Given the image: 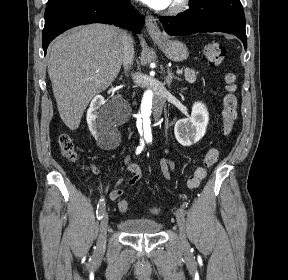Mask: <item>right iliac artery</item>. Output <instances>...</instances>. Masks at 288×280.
Returning a JSON list of instances; mask_svg holds the SVG:
<instances>
[{
	"instance_id": "1",
	"label": "right iliac artery",
	"mask_w": 288,
	"mask_h": 280,
	"mask_svg": "<svg viewBox=\"0 0 288 280\" xmlns=\"http://www.w3.org/2000/svg\"><path fill=\"white\" fill-rule=\"evenodd\" d=\"M143 146H144V143L142 142V144L137 148V154H139L142 149H143ZM105 198L102 196L98 202V205H97V211H96V214H97V218L100 220L103 215H104V212H105Z\"/></svg>"
}]
</instances>
